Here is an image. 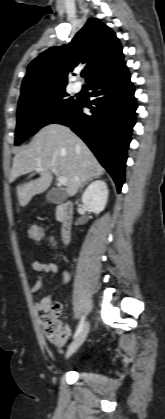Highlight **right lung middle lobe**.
Instances as JSON below:
<instances>
[{"label":"right lung middle lobe","mask_w":165,"mask_h":419,"mask_svg":"<svg viewBox=\"0 0 165 419\" xmlns=\"http://www.w3.org/2000/svg\"><path fill=\"white\" fill-rule=\"evenodd\" d=\"M65 88L39 93L18 103L15 145L75 108L79 99L67 98Z\"/></svg>","instance_id":"1"}]
</instances>
